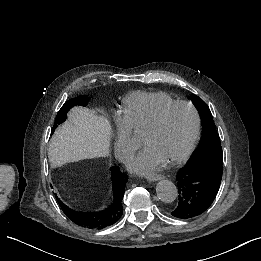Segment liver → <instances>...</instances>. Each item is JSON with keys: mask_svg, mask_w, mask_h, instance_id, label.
Listing matches in <instances>:
<instances>
[{"mask_svg": "<svg viewBox=\"0 0 261 261\" xmlns=\"http://www.w3.org/2000/svg\"><path fill=\"white\" fill-rule=\"evenodd\" d=\"M113 130L106 114L97 115L83 107H74L68 121L60 125L50 141L49 152L56 157L86 158L105 156L109 153Z\"/></svg>", "mask_w": 261, "mask_h": 261, "instance_id": "1", "label": "liver"}]
</instances>
